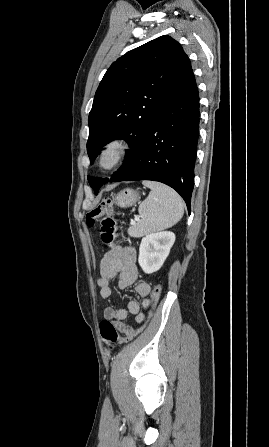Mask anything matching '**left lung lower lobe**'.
<instances>
[{
    "instance_id": "left-lung-lower-lobe-1",
    "label": "left lung lower lobe",
    "mask_w": 269,
    "mask_h": 447,
    "mask_svg": "<svg viewBox=\"0 0 269 447\" xmlns=\"http://www.w3.org/2000/svg\"><path fill=\"white\" fill-rule=\"evenodd\" d=\"M199 94L191 63L183 66L139 153L111 182L153 180L169 185L190 212L199 137Z\"/></svg>"
}]
</instances>
